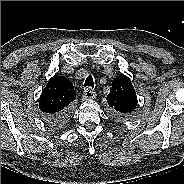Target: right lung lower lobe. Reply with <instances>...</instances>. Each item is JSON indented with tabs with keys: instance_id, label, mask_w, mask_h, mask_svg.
Listing matches in <instances>:
<instances>
[{
	"instance_id": "98d812e1",
	"label": "right lung lower lobe",
	"mask_w": 184,
	"mask_h": 184,
	"mask_svg": "<svg viewBox=\"0 0 184 184\" xmlns=\"http://www.w3.org/2000/svg\"><path fill=\"white\" fill-rule=\"evenodd\" d=\"M68 110L55 115H45L44 120L49 124L61 125L68 119Z\"/></svg>"
}]
</instances>
